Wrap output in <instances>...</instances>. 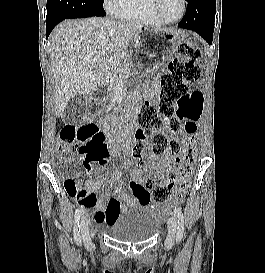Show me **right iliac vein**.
Instances as JSON below:
<instances>
[{"label": "right iliac vein", "instance_id": "right-iliac-vein-1", "mask_svg": "<svg viewBox=\"0 0 265 273\" xmlns=\"http://www.w3.org/2000/svg\"><path fill=\"white\" fill-rule=\"evenodd\" d=\"M80 229H81V235H82L84 244L86 246H90L92 244V240H91V234L89 230V220L87 216H83L81 218Z\"/></svg>", "mask_w": 265, "mask_h": 273}]
</instances>
